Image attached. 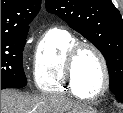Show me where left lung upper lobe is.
<instances>
[{
	"label": "left lung upper lobe",
	"mask_w": 123,
	"mask_h": 113,
	"mask_svg": "<svg viewBox=\"0 0 123 113\" xmlns=\"http://www.w3.org/2000/svg\"><path fill=\"white\" fill-rule=\"evenodd\" d=\"M46 8L101 51L110 90L123 102V20L111 0H46Z\"/></svg>",
	"instance_id": "5c2ea615"
}]
</instances>
